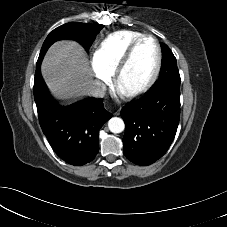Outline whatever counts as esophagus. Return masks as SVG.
I'll return each instance as SVG.
<instances>
[{"mask_svg": "<svg viewBox=\"0 0 227 227\" xmlns=\"http://www.w3.org/2000/svg\"><path fill=\"white\" fill-rule=\"evenodd\" d=\"M113 114L114 115H119V110H116Z\"/></svg>", "mask_w": 227, "mask_h": 227, "instance_id": "obj_1", "label": "esophagus"}]
</instances>
